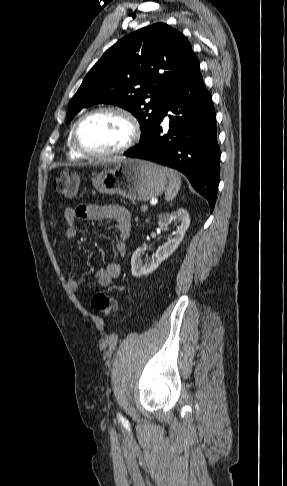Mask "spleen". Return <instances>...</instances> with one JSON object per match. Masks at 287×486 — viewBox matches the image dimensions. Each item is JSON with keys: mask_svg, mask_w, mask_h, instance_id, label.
I'll return each instance as SVG.
<instances>
[{"mask_svg": "<svg viewBox=\"0 0 287 486\" xmlns=\"http://www.w3.org/2000/svg\"><path fill=\"white\" fill-rule=\"evenodd\" d=\"M168 178H169V185L167 187V190H166V193H165V200L166 201H171L173 200L179 189H180V186H181V177L179 176V174L172 170V169H168V168H164Z\"/></svg>", "mask_w": 287, "mask_h": 486, "instance_id": "obj_1", "label": "spleen"}]
</instances>
